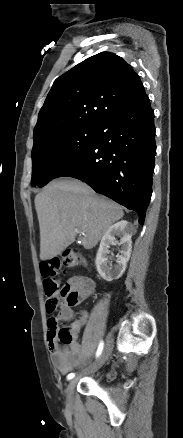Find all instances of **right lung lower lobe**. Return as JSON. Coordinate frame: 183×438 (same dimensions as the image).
<instances>
[{
	"instance_id": "1",
	"label": "right lung lower lobe",
	"mask_w": 183,
	"mask_h": 438,
	"mask_svg": "<svg viewBox=\"0 0 183 438\" xmlns=\"http://www.w3.org/2000/svg\"><path fill=\"white\" fill-rule=\"evenodd\" d=\"M155 153L154 111L146 95L101 122L91 144L55 178L84 181L96 192L138 212L143 224L152 194Z\"/></svg>"
}]
</instances>
